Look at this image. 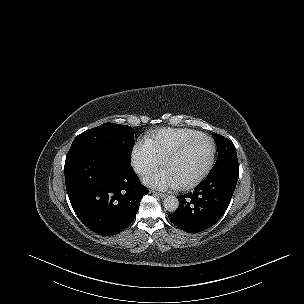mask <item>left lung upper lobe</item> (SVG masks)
Wrapping results in <instances>:
<instances>
[{
  "label": "left lung upper lobe",
  "mask_w": 304,
  "mask_h": 304,
  "mask_svg": "<svg viewBox=\"0 0 304 304\" xmlns=\"http://www.w3.org/2000/svg\"><path fill=\"white\" fill-rule=\"evenodd\" d=\"M212 135L217 145L218 158L209 174L220 171L228 166L238 164L234 144L219 134L213 132Z\"/></svg>",
  "instance_id": "5c2ea615"
}]
</instances>
